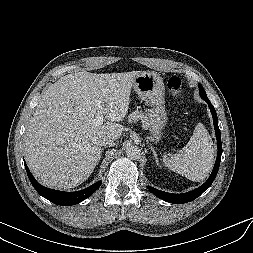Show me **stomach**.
<instances>
[{
  "instance_id": "obj_1",
  "label": "stomach",
  "mask_w": 253,
  "mask_h": 253,
  "mask_svg": "<svg viewBox=\"0 0 253 253\" xmlns=\"http://www.w3.org/2000/svg\"><path fill=\"white\" fill-rule=\"evenodd\" d=\"M133 88L138 96L151 106L148 112V128L154 140L158 141L168 120L163 79L155 72L143 71L136 76Z\"/></svg>"
}]
</instances>
